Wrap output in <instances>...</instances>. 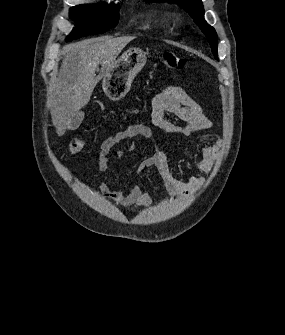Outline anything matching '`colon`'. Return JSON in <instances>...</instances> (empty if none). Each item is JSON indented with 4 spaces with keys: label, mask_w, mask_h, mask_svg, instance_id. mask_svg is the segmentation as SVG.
I'll return each instance as SVG.
<instances>
[{
    "label": "colon",
    "mask_w": 285,
    "mask_h": 335,
    "mask_svg": "<svg viewBox=\"0 0 285 335\" xmlns=\"http://www.w3.org/2000/svg\"><path fill=\"white\" fill-rule=\"evenodd\" d=\"M160 59L164 67L170 70H179L184 68L186 65V62L183 58L177 56L172 52H166L162 54ZM84 144V137L80 135L75 136L69 144V151L72 154H76L83 148Z\"/></svg>",
    "instance_id": "1"
}]
</instances>
